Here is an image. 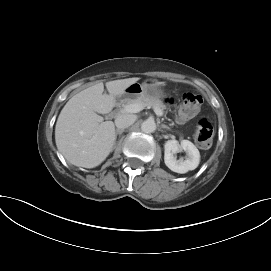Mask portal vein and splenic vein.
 I'll return each instance as SVG.
<instances>
[{
	"mask_svg": "<svg viewBox=\"0 0 271 271\" xmlns=\"http://www.w3.org/2000/svg\"><path fill=\"white\" fill-rule=\"evenodd\" d=\"M144 109V107L139 104V103H133V104H127L122 108L123 112L126 113H138L140 111H142ZM154 112L157 116H161L162 115V111L158 108H154Z\"/></svg>",
	"mask_w": 271,
	"mask_h": 271,
	"instance_id": "1",
	"label": "portal vein and splenic vein"
}]
</instances>
